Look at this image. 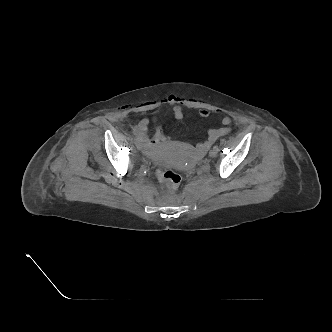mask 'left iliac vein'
<instances>
[{
    "label": "left iliac vein",
    "mask_w": 332,
    "mask_h": 332,
    "mask_svg": "<svg viewBox=\"0 0 332 332\" xmlns=\"http://www.w3.org/2000/svg\"><path fill=\"white\" fill-rule=\"evenodd\" d=\"M217 155V151L212 149L210 152H209V156L210 157H215Z\"/></svg>",
    "instance_id": "1"
}]
</instances>
